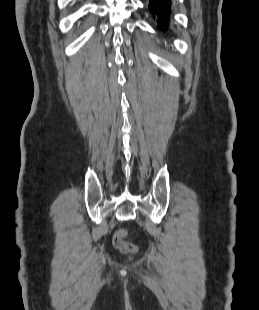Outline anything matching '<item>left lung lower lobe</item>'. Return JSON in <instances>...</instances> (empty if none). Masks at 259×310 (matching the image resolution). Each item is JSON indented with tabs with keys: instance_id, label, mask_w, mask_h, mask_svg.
Returning <instances> with one entry per match:
<instances>
[{
	"instance_id": "1",
	"label": "left lung lower lobe",
	"mask_w": 259,
	"mask_h": 310,
	"mask_svg": "<svg viewBox=\"0 0 259 310\" xmlns=\"http://www.w3.org/2000/svg\"><path fill=\"white\" fill-rule=\"evenodd\" d=\"M171 0H149V9L163 29L169 20Z\"/></svg>"
}]
</instances>
